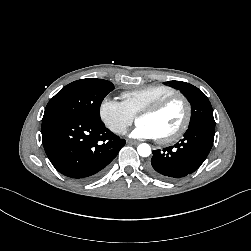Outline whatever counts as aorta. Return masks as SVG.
Listing matches in <instances>:
<instances>
[{
    "label": "aorta",
    "instance_id": "1",
    "mask_svg": "<svg viewBox=\"0 0 251 251\" xmlns=\"http://www.w3.org/2000/svg\"><path fill=\"white\" fill-rule=\"evenodd\" d=\"M137 152L142 157H148L151 154V147L147 143L138 145Z\"/></svg>",
    "mask_w": 251,
    "mask_h": 251
}]
</instances>
